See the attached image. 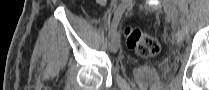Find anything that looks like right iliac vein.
<instances>
[{"mask_svg":"<svg viewBox=\"0 0 209 90\" xmlns=\"http://www.w3.org/2000/svg\"><path fill=\"white\" fill-rule=\"evenodd\" d=\"M120 46V33L117 32L113 35L111 41H110V50L111 52H117L118 48Z\"/></svg>","mask_w":209,"mask_h":90,"instance_id":"right-iliac-vein-1","label":"right iliac vein"}]
</instances>
